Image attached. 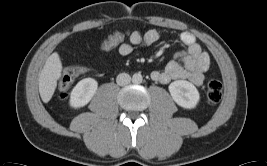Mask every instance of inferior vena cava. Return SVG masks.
<instances>
[{"label": "inferior vena cava", "instance_id": "1", "mask_svg": "<svg viewBox=\"0 0 267 166\" xmlns=\"http://www.w3.org/2000/svg\"><path fill=\"white\" fill-rule=\"evenodd\" d=\"M130 81H131V77L127 73H120L116 78V82L120 86L127 85L130 83Z\"/></svg>", "mask_w": 267, "mask_h": 166}]
</instances>
